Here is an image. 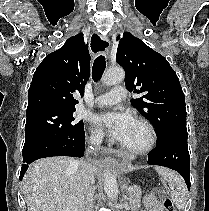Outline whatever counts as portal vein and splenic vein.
Returning a JSON list of instances; mask_svg holds the SVG:
<instances>
[{
    "label": "portal vein and splenic vein",
    "instance_id": "obj_1",
    "mask_svg": "<svg viewBox=\"0 0 209 211\" xmlns=\"http://www.w3.org/2000/svg\"><path fill=\"white\" fill-rule=\"evenodd\" d=\"M132 190V187H130L129 189H128V191H131Z\"/></svg>",
    "mask_w": 209,
    "mask_h": 211
}]
</instances>
